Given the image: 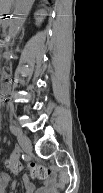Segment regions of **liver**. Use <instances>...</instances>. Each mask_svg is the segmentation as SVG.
Wrapping results in <instances>:
<instances>
[{
	"label": "liver",
	"mask_w": 103,
	"mask_h": 193,
	"mask_svg": "<svg viewBox=\"0 0 103 193\" xmlns=\"http://www.w3.org/2000/svg\"><path fill=\"white\" fill-rule=\"evenodd\" d=\"M13 0H1L0 1V11L1 13H7L10 10Z\"/></svg>",
	"instance_id": "obj_1"
}]
</instances>
